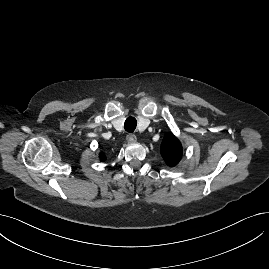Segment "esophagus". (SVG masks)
Segmentation results:
<instances>
[{
  "label": "esophagus",
  "instance_id": "1",
  "mask_svg": "<svg viewBox=\"0 0 269 269\" xmlns=\"http://www.w3.org/2000/svg\"><path fill=\"white\" fill-rule=\"evenodd\" d=\"M126 139L129 143H134L137 141V137L134 134H128Z\"/></svg>",
  "mask_w": 269,
  "mask_h": 269
}]
</instances>
